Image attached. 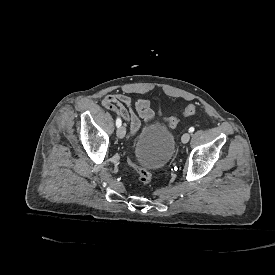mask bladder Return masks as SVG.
<instances>
[{
    "mask_svg": "<svg viewBox=\"0 0 275 275\" xmlns=\"http://www.w3.org/2000/svg\"><path fill=\"white\" fill-rule=\"evenodd\" d=\"M173 150V134L163 123L155 122L136 138L133 154L140 166L153 171L169 164Z\"/></svg>",
    "mask_w": 275,
    "mask_h": 275,
    "instance_id": "31cf9c89",
    "label": "bladder"
}]
</instances>
